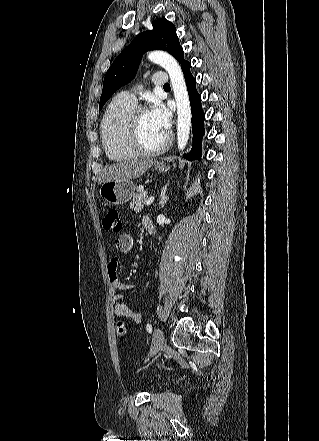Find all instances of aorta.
<instances>
[{"label":"aorta","mask_w":319,"mask_h":441,"mask_svg":"<svg viewBox=\"0 0 319 441\" xmlns=\"http://www.w3.org/2000/svg\"><path fill=\"white\" fill-rule=\"evenodd\" d=\"M147 57L149 61L162 66L169 74L177 104V145L179 151H183L187 145L191 127V108L183 72L176 59L165 51L155 50Z\"/></svg>","instance_id":"762f6f07"}]
</instances>
